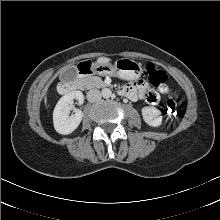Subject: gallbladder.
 I'll return each mask as SVG.
<instances>
[{"label": "gallbladder", "mask_w": 220, "mask_h": 220, "mask_svg": "<svg viewBox=\"0 0 220 220\" xmlns=\"http://www.w3.org/2000/svg\"><path fill=\"white\" fill-rule=\"evenodd\" d=\"M63 78H68L69 80H74L77 77V68L75 66L69 67L62 74Z\"/></svg>", "instance_id": "obj_1"}]
</instances>
